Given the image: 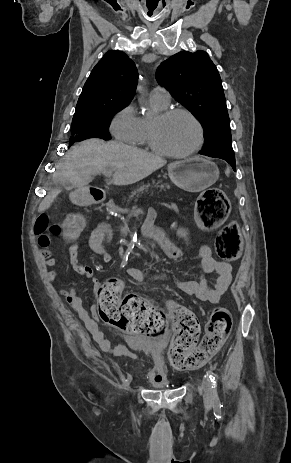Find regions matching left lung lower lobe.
Returning a JSON list of instances; mask_svg holds the SVG:
<instances>
[{"mask_svg":"<svg viewBox=\"0 0 291 463\" xmlns=\"http://www.w3.org/2000/svg\"><path fill=\"white\" fill-rule=\"evenodd\" d=\"M217 158H221L225 161H227L233 168L234 171H236V164H235V158H226V157H217Z\"/></svg>","mask_w":291,"mask_h":463,"instance_id":"1","label":"left lung lower lobe"}]
</instances>
